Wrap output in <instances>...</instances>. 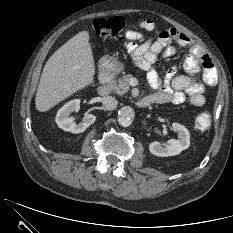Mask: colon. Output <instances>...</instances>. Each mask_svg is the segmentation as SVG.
<instances>
[{"label": "colon", "instance_id": "1", "mask_svg": "<svg viewBox=\"0 0 233 233\" xmlns=\"http://www.w3.org/2000/svg\"><path fill=\"white\" fill-rule=\"evenodd\" d=\"M128 24L129 20L121 16H114L96 19L92 27L99 37L111 38L121 34ZM211 120V114L209 112H202L194 119L193 126L196 130L203 132L210 127Z\"/></svg>", "mask_w": 233, "mask_h": 233}]
</instances>
